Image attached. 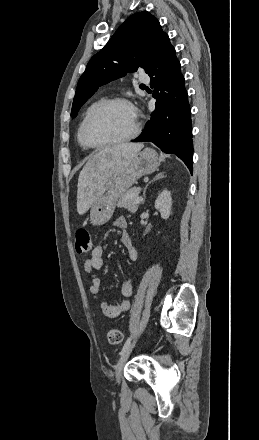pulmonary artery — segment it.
<instances>
[{
  "label": "pulmonary artery",
  "instance_id": "e3ab8cb5",
  "mask_svg": "<svg viewBox=\"0 0 259 440\" xmlns=\"http://www.w3.org/2000/svg\"><path fill=\"white\" fill-rule=\"evenodd\" d=\"M149 77L147 75H140L139 77V81L142 83H148L149 82Z\"/></svg>",
  "mask_w": 259,
  "mask_h": 440
}]
</instances>
